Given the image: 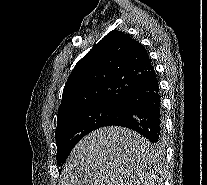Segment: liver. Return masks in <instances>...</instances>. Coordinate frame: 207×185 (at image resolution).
Listing matches in <instances>:
<instances>
[{"label": "liver", "instance_id": "1", "mask_svg": "<svg viewBox=\"0 0 207 185\" xmlns=\"http://www.w3.org/2000/svg\"><path fill=\"white\" fill-rule=\"evenodd\" d=\"M153 153L150 141L125 129L101 127L83 137L71 151L61 185H151Z\"/></svg>", "mask_w": 207, "mask_h": 185}]
</instances>
